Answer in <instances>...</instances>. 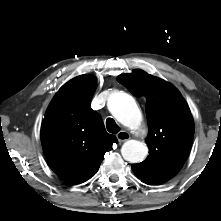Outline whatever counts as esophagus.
Segmentation results:
<instances>
[{
  "label": "esophagus",
  "instance_id": "esophagus-1",
  "mask_svg": "<svg viewBox=\"0 0 221 221\" xmlns=\"http://www.w3.org/2000/svg\"><path fill=\"white\" fill-rule=\"evenodd\" d=\"M116 137L118 141L122 143L130 139V134L127 131L122 130L117 133Z\"/></svg>",
  "mask_w": 221,
  "mask_h": 221
}]
</instances>
